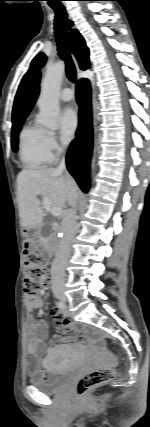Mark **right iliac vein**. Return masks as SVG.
<instances>
[{
    "mask_svg": "<svg viewBox=\"0 0 150 427\" xmlns=\"http://www.w3.org/2000/svg\"><path fill=\"white\" fill-rule=\"evenodd\" d=\"M55 295H56L57 298H59V299H61L63 301H66V297H65L63 291L58 290V291L55 292Z\"/></svg>",
    "mask_w": 150,
    "mask_h": 427,
    "instance_id": "1",
    "label": "right iliac vein"
}]
</instances>
